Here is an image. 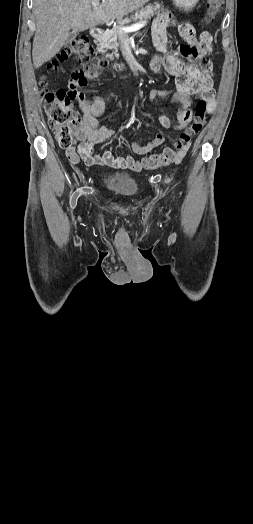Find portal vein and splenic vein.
<instances>
[{
    "instance_id": "portal-vein-and-splenic-vein-1",
    "label": "portal vein and splenic vein",
    "mask_w": 253,
    "mask_h": 524,
    "mask_svg": "<svg viewBox=\"0 0 253 524\" xmlns=\"http://www.w3.org/2000/svg\"><path fill=\"white\" fill-rule=\"evenodd\" d=\"M99 5V2H92V6L93 7H97ZM147 24L146 21H140L136 24H134L133 26L131 27H122L120 28L122 31L124 32H131V31H136L138 29H141L142 27H144L145 25Z\"/></svg>"
}]
</instances>
